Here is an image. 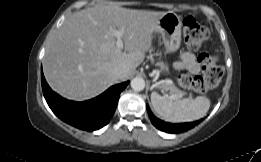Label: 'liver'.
Returning <instances> with one entry per match:
<instances>
[{"mask_svg":"<svg viewBox=\"0 0 261 162\" xmlns=\"http://www.w3.org/2000/svg\"><path fill=\"white\" fill-rule=\"evenodd\" d=\"M166 13L100 5L72 14L49 41L43 59L48 84L82 101L129 78L152 46L154 24ZM113 30L122 32L125 52L116 47ZM122 65L127 74L117 78L113 70Z\"/></svg>","mask_w":261,"mask_h":162,"instance_id":"liver-1","label":"liver"}]
</instances>
